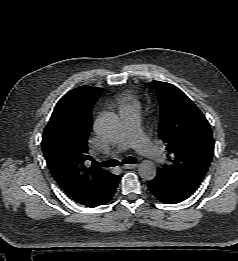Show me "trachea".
Wrapping results in <instances>:
<instances>
[{"label":"trachea","mask_w":238,"mask_h":261,"mask_svg":"<svg viewBox=\"0 0 238 261\" xmlns=\"http://www.w3.org/2000/svg\"><path fill=\"white\" fill-rule=\"evenodd\" d=\"M122 163L123 164H134V163H136V158L135 157H126L122 160ZM95 165L109 168V167H115V166L119 165V162L115 159H110V160L104 161L102 163L95 161Z\"/></svg>","instance_id":"obj_1"}]
</instances>
